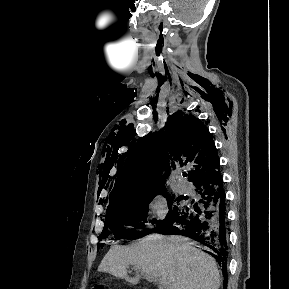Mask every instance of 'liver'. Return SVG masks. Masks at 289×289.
I'll return each instance as SVG.
<instances>
[{
	"label": "liver",
	"instance_id": "obj_1",
	"mask_svg": "<svg viewBox=\"0 0 289 289\" xmlns=\"http://www.w3.org/2000/svg\"><path fill=\"white\" fill-rule=\"evenodd\" d=\"M134 265L141 275L129 278L127 268ZM98 271L137 284L159 278L166 289H218L220 272L213 257L195 248L180 236L149 235L131 246H113Z\"/></svg>",
	"mask_w": 289,
	"mask_h": 289
}]
</instances>
